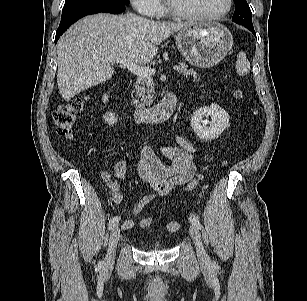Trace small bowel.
Masks as SVG:
<instances>
[{
  "mask_svg": "<svg viewBox=\"0 0 307 301\" xmlns=\"http://www.w3.org/2000/svg\"><path fill=\"white\" fill-rule=\"evenodd\" d=\"M198 153V147L181 136L175 137L173 145L163 146L158 151L145 147L141 152L137 171L140 178L150 184L153 192L144 195L137 202L133 208V214L135 216L141 214L144 208L157 196H168L175 188L191 189L194 187L201 178L196 168ZM161 156L170 160L171 166L166 167L160 159ZM114 169L113 176L109 172L103 171L101 178L107 186L109 198L120 204L123 202L124 196L119 191L118 181L123 179L126 174V160H118ZM133 227L134 222L131 219H125L121 222L123 230H130Z\"/></svg>",
  "mask_w": 307,
  "mask_h": 301,
  "instance_id": "c3829d8e",
  "label": "small bowel"
}]
</instances>
